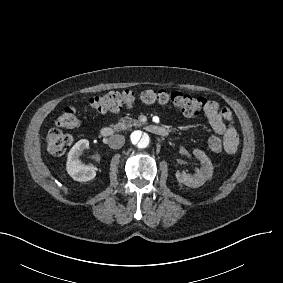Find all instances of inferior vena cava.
Segmentation results:
<instances>
[{"label": "inferior vena cava", "instance_id": "inferior-vena-cava-1", "mask_svg": "<svg viewBox=\"0 0 283 283\" xmlns=\"http://www.w3.org/2000/svg\"><path fill=\"white\" fill-rule=\"evenodd\" d=\"M125 143V137L123 135H112L108 140V145L112 149H120Z\"/></svg>", "mask_w": 283, "mask_h": 283}]
</instances>
